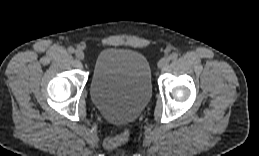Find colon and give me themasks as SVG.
<instances>
[{"label":"colon","instance_id":"obj_1","mask_svg":"<svg viewBox=\"0 0 259 156\" xmlns=\"http://www.w3.org/2000/svg\"><path fill=\"white\" fill-rule=\"evenodd\" d=\"M129 130L124 129L119 135L109 137L105 140V146L108 149H115L125 144L129 139Z\"/></svg>","mask_w":259,"mask_h":156}]
</instances>
